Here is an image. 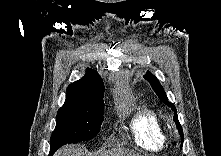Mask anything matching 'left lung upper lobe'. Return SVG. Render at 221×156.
I'll return each mask as SVG.
<instances>
[{
    "mask_svg": "<svg viewBox=\"0 0 221 156\" xmlns=\"http://www.w3.org/2000/svg\"><path fill=\"white\" fill-rule=\"evenodd\" d=\"M144 78L151 84L153 90L155 91V93L157 94V96L168 106L170 107L175 115L177 113V110L175 108V106L168 101L167 95L162 87V85L160 84L159 80L151 73H149V71L146 73V75L144 76ZM177 118V117H176Z\"/></svg>",
    "mask_w": 221,
    "mask_h": 156,
    "instance_id": "obj_1",
    "label": "left lung upper lobe"
}]
</instances>
